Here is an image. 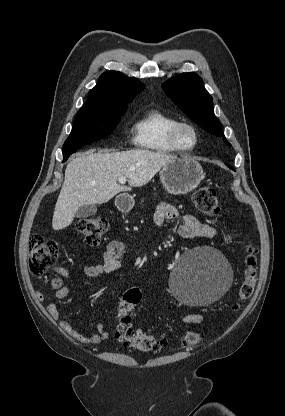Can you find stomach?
<instances>
[{"label": "stomach", "mask_w": 285, "mask_h": 416, "mask_svg": "<svg viewBox=\"0 0 285 416\" xmlns=\"http://www.w3.org/2000/svg\"><path fill=\"white\" fill-rule=\"evenodd\" d=\"M204 174L202 166L193 158H177L163 166L160 180L169 194H188L199 186Z\"/></svg>", "instance_id": "stomach-1"}]
</instances>
